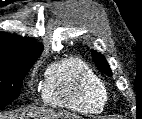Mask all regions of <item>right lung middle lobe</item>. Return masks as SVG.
Returning <instances> with one entry per match:
<instances>
[{"label":"right lung middle lobe","instance_id":"right-lung-middle-lobe-1","mask_svg":"<svg viewBox=\"0 0 142 119\" xmlns=\"http://www.w3.org/2000/svg\"><path fill=\"white\" fill-rule=\"evenodd\" d=\"M35 60L0 66V110L19 97L23 78Z\"/></svg>","mask_w":142,"mask_h":119}]
</instances>
